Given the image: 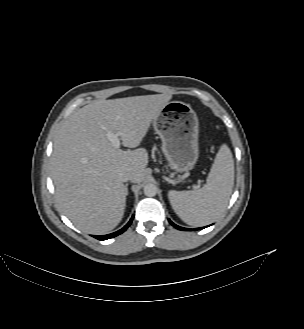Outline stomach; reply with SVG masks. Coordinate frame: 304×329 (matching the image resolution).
I'll use <instances>...</instances> for the list:
<instances>
[{"label":"stomach","mask_w":304,"mask_h":329,"mask_svg":"<svg viewBox=\"0 0 304 329\" xmlns=\"http://www.w3.org/2000/svg\"><path fill=\"white\" fill-rule=\"evenodd\" d=\"M153 127L162 141L161 150L176 172L192 170L199 156V121L189 104L168 102L153 120Z\"/></svg>","instance_id":"0dacf381"}]
</instances>
